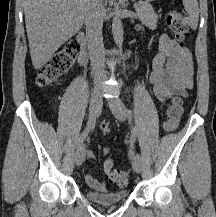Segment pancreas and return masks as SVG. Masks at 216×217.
I'll list each match as a JSON object with an SVG mask.
<instances>
[{"label": "pancreas", "instance_id": "obj_1", "mask_svg": "<svg viewBox=\"0 0 216 217\" xmlns=\"http://www.w3.org/2000/svg\"><path fill=\"white\" fill-rule=\"evenodd\" d=\"M136 12L143 25L149 29H155L157 27L159 16L155 13L150 4L146 2L137 3Z\"/></svg>", "mask_w": 216, "mask_h": 217}]
</instances>
